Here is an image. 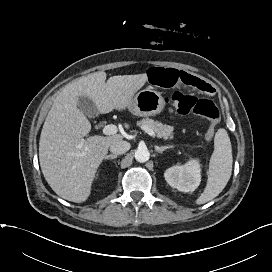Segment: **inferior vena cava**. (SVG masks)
Segmentation results:
<instances>
[{
  "label": "inferior vena cava",
  "mask_w": 272,
  "mask_h": 272,
  "mask_svg": "<svg viewBox=\"0 0 272 272\" xmlns=\"http://www.w3.org/2000/svg\"><path fill=\"white\" fill-rule=\"evenodd\" d=\"M131 145L127 141H117L110 145V151L115 155H121L130 149Z\"/></svg>",
  "instance_id": "inferior-vena-cava-1"
}]
</instances>
